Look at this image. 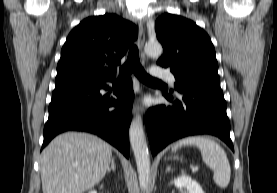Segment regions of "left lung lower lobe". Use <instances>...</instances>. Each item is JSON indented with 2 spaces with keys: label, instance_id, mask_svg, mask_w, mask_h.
<instances>
[{
  "label": "left lung lower lobe",
  "instance_id": "obj_1",
  "mask_svg": "<svg viewBox=\"0 0 277 193\" xmlns=\"http://www.w3.org/2000/svg\"><path fill=\"white\" fill-rule=\"evenodd\" d=\"M177 91L180 98L163 93L173 101L172 106H156L148 111L146 128L152 155L177 139L198 134L215 135L234 151L220 84L202 82Z\"/></svg>",
  "mask_w": 277,
  "mask_h": 193
}]
</instances>
